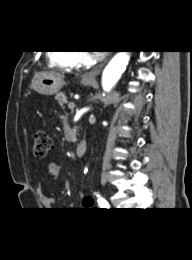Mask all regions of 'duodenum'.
<instances>
[{"instance_id": "obj_1", "label": "duodenum", "mask_w": 192, "mask_h": 260, "mask_svg": "<svg viewBox=\"0 0 192 260\" xmlns=\"http://www.w3.org/2000/svg\"><path fill=\"white\" fill-rule=\"evenodd\" d=\"M86 151H87V142L81 141L75 149V155L77 157H83L86 154Z\"/></svg>"}]
</instances>
